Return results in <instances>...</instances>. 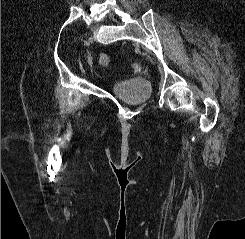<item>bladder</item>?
<instances>
[{"label":"bladder","mask_w":245,"mask_h":239,"mask_svg":"<svg viewBox=\"0 0 245 239\" xmlns=\"http://www.w3.org/2000/svg\"><path fill=\"white\" fill-rule=\"evenodd\" d=\"M109 88L113 95L132 104L147 103L152 93L150 84L137 79L114 82Z\"/></svg>","instance_id":"1"}]
</instances>
